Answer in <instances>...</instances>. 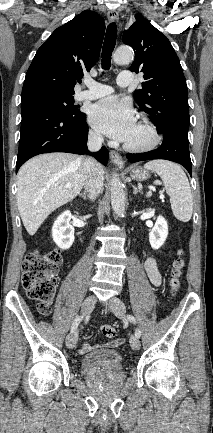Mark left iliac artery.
<instances>
[{
	"label": "left iliac artery",
	"instance_id": "obj_1",
	"mask_svg": "<svg viewBox=\"0 0 213 433\" xmlns=\"http://www.w3.org/2000/svg\"><path fill=\"white\" fill-rule=\"evenodd\" d=\"M127 319H128L131 323L136 324V319H135V317H134L133 315H127ZM135 335H136L137 337H140V336H141V331H140L138 328H137L136 331H135Z\"/></svg>",
	"mask_w": 213,
	"mask_h": 433
}]
</instances>
